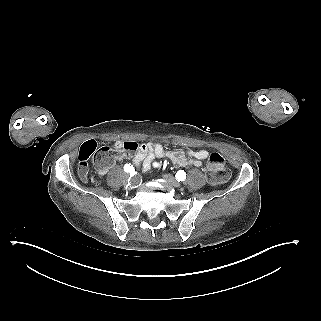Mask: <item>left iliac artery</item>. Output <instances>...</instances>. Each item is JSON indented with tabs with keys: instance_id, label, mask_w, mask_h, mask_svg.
<instances>
[{
	"instance_id": "1",
	"label": "left iliac artery",
	"mask_w": 321,
	"mask_h": 321,
	"mask_svg": "<svg viewBox=\"0 0 321 321\" xmlns=\"http://www.w3.org/2000/svg\"><path fill=\"white\" fill-rule=\"evenodd\" d=\"M176 178L178 179V181H184V179H186V173L183 170H179L176 173Z\"/></svg>"
}]
</instances>
